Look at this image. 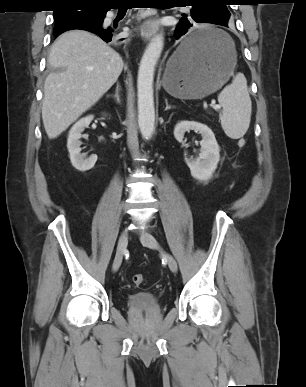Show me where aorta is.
Masks as SVG:
<instances>
[{"label":"aorta","mask_w":306,"mask_h":387,"mask_svg":"<svg viewBox=\"0 0 306 387\" xmlns=\"http://www.w3.org/2000/svg\"><path fill=\"white\" fill-rule=\"evenodd\" d=\"M163 46V35H156L146 47L138 69V125L142 137L146 140L152 137L155 129L153 80L155 67L161 56Z\"/></svg>","instance_id":"obj_1"}]
</instances>
